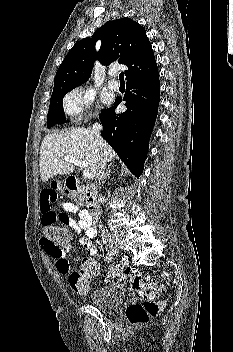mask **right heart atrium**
I'll return each instance as SVG.
<instances>
[{"mask_svg": "<svg viewBox=\"0 0 233 352\" xmlns=\"http://www.w3.org/2000/svg\"><path fill=\"white\" fill-rule=\"evenodd\" d=\"M94 95L88 90L76 88L70 91L64 98L63 107L67 115L80 119L90 109Z\"/></svg>", "mask_w": 233, "mask_h": 352, "instance_id": "d8ad5b80", "label": "right heart atrium"}]
</instances>
